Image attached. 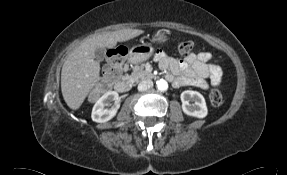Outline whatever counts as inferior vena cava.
<instances>
[{
	"instance_id": "602c4592",
	"label": "inferior vena cava",
	"mask_w": 287,
	"mask_h": 175,
	"mask_svg": "<svg viewBox=\"0 0 287 175\" xmlns=\"http://www.w3.org/2000/svg\"><path fill=\"white\" fill-rule=\"evenodd\" d=\"M152 87H153V81L150 79L143 80L138 84L139 91H146Z\"/></svg>"
}]
</instances>
